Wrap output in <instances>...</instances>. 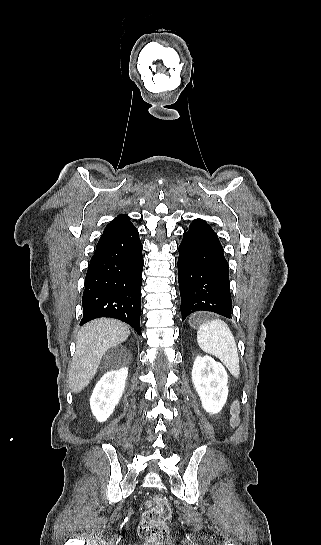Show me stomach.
<instances>
[{"label": "stomach", "instance_id": "obj_1", "mask_svg": "<svg viewBox=\"0 0 321 545\" xmlns=\"http://www.w3.org/2000/svg\"><path fill=\"white\" fill-rule=\"evenodd\" d=\"M199 315L200 313H195V315H192V317H190L189 325H191V327H197V325H199L200 323Z\"/></svg>", "mask_w": 321, "mask_h": 545}]
</instances>
